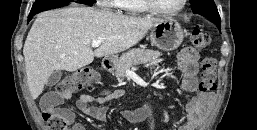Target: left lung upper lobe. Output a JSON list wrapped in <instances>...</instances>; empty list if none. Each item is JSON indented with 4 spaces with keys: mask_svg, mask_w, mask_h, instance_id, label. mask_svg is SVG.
I'll return each mask as SVG.
<instances>
[{
    "mask_svg": "<svg viewBox=\"0 0 257 130\" xmlns=\"http://www.w3.org/2000/svg\"><path fill=\"white\" fill-rule=\"evenodd\" d=\"M190 2L194 13H198L209 18L216 25L219 24V21L221 20L213 0H190Z\"/></svg>",
    "mask_w": 257,
    "mask_h": 130,
    "instance_id": "5c2ea615",
    "label": "left lung upper lobe"
}]
</instances>
